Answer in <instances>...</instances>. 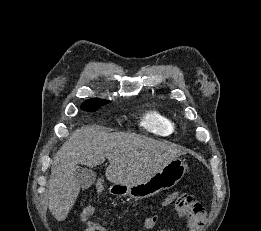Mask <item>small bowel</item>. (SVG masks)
I'll return each mask as SVG.
<instances>
[{
	"label": "small bowel",
	"instance_id": "small-bowel-1",
	"mask_svg": "<svg viewBox=\"0 0 261 231\" xmlns=\"http://www.w3.org/2000/svg\"><path fill=\"white\" fill-rule=\"evenodd\" d=\"M94 211L95 206L92 204H88L84 207L81 214V219L86 225L84 231H108L105 226L91 219ZM158 221L157 215H151L145 219L144 226L148 230H154L158 226ZM186 227L187 231H203L204 229L202 224L195 223L191 220L187 221Z\"/></svg>",
	"mask_w": 261,
	"mask_h": 231
}]
</instances>
